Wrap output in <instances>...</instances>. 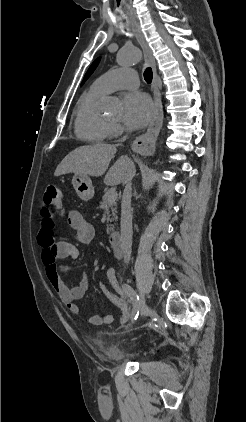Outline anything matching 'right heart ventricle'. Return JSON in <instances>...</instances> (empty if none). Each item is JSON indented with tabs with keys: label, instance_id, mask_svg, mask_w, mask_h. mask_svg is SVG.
I'll list each match as a JSON object with an SVG mask.
<instances>
[{
	"label": "right heart ventricle",
	"instance_id": "obj_1",
	"mask_svg": "<svg viewBox=\"0 0 246 422\" xmlns=\"http://www.w3.org/2000/svg\"><path fill=\"white\" fill-rule=\"evenodd\" d=\"M105 93L91 87L80 97L74 120L77 137L92 143H100L109 137L110 122L98 112V103Z\"/></svg>",
	"mask_w": 246,
	"mask_h": 422
}]
</instances>
